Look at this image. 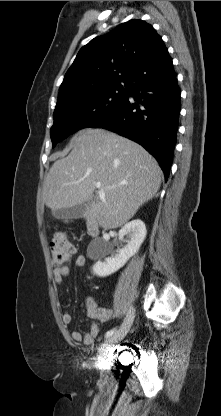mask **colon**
Instances as JSON below:
<instances>
[{"instance_id": "obj_1", "label": "colon", "mask_w": 221, "mask_h": 416, "mask_svg": "<svg viewBox=\"0 0 221 416\" xmlns=\"http://www.w3.org/2000/svg\"><path fill=\"white\" fill-rule=\"evenodd\" d=\"M50 250L52 262L56 265L67 262L74 253V248L68 238L60 233L54 235L50 241Z\"/></svg>"}]
</instances>
